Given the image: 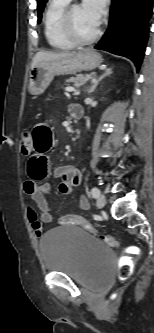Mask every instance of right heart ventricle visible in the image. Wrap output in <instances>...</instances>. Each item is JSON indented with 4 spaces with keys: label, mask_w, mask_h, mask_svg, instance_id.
Here are the masks:
<instances>
[{
    "label": "right heart ventricle",
    "mask_w": 154,
    "mask_h": 333,
    "mask_svg": "<svg viewBox=\"0 0 154 333\" xmlns=\"http://www.w3.org/2000/svg\"><path fill=\"white\" fill-rule=\"evenodd\" d=\"M71 0H49L44 12V35L48 44L56 50H70L76 45L63 34L61 16Z\"/></svg>",
    "instance_id": "e07e8e85"
}]
</instances>
